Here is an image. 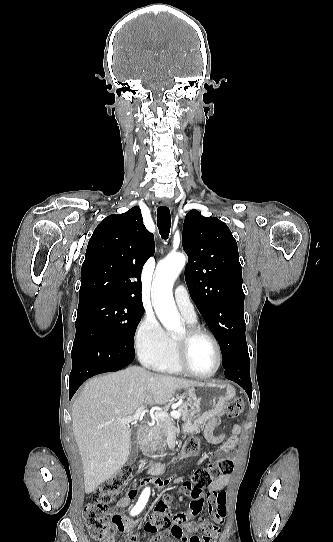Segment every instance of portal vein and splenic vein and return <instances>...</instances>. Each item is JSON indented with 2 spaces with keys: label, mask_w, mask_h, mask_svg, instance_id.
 Segmentation results:
<instances>
[{
  "label": "portal vein and splenic vein",
  "mask_w": 333,
  "mask_h": 542,
  "mask_svg": "<svg viewBox=\"0 0 333 542\" xmlns=\"http://www.w3.org/2000/svg\"><path fill=\"white\" fill-rule=\"evenodd\" d=\"M144 414H146V410L145 406H142V408H138V410H136L134 416L120 418V420H117V422H121V424H133V422H137V420H142ZM170 416L171 418H174V420L181 418L180 412H176V410H173V412H170V414H166V412H155L154 414V418H156V420H164V418H170Z\"/></svg>",
  "instance_id": "1"
}]
</instances>
